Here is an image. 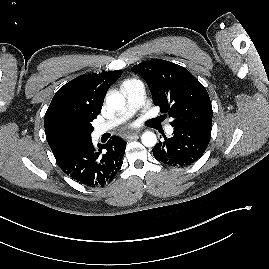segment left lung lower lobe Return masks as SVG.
Returning <instances> with one entry per match:
<instances>
[{"label": "left lung lower lobe", "mask_w": 269, "mask_h": 269, "mask_svg": "<svg viewBox=\"0 0 269 269\" xmlns=\"http://www.w3.org/2000/svg\"><path fill=\"white\" fill-rule=\"evenodd\" d=\"M211 138V126L174 127L173 136L159 141L153 156L168 166L185 167L204 154Z\"/></svg>", "instance_id": "1"}]
</instances>
